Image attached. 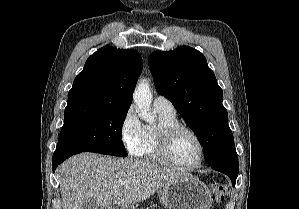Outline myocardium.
I'll return each instance as SVG.
<instances>
[{
    "instance_id": "1",
    "label": "myocardium",
    "mask_w": 299,
    "mask_h": 209,
    "mask_svg": "<svg viewBox=\"0 0 299 209\" xmlns=\"http://www.w3.org/2000/svg\"><path fill=\"white\" fill-rule=\"evenodd\" d=\"M182 132H186L192 135L199 145L200 148L199 159L193 165H181L177 163L172 156L173 141L175 137ZM156 139H157V153L159 155L161 162L172 168L178 170H184V171H191L200 167L204 161L205 145L201 137L199 136V134L188 126L182 125L180 123L162 126L158 129L156 133Z\"/></svg>"
}]
</instances>
